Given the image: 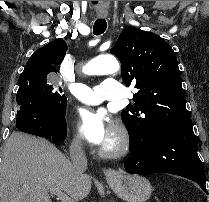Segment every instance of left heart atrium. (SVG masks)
Returning <instances> with one entry per match:
<instances>
[{
  "mask_svg": "<svg viewBox=\"0 0 209 202\" xmlns=\"http://www.w3.org/2000/svg\"><path fill=\"white\" fill-rule=\"evenodd\" d=\"M77 121L82 138L93 146L103 147L116 132L107 114L90 107L78 110Z\"/></svg>",
  "mask_w": 209,
  "mask_h": 202,
  "instance_id": "1",
  "label": "left heart atrium"
}]
</instances>
